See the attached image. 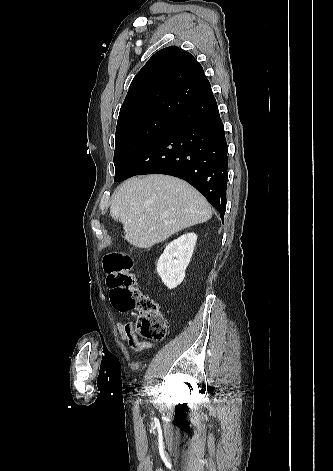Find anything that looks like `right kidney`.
<instances>
[{
	"mask_svg": "<svg viewBox=\"0 0 333 471\" xmlns=\"http://www.w3.org/2000/svg\"><path fill=\"white\" fill-rule=\"evenodd\" d=\"M197 241L195 233H187L168 244L157 263V272L169 288H176L185 277Z\"/></svg>",
	"mask_w": 333,
	"mask_h": 471,
	"instance_id": "right-kidney-1",
	"label": "right kidney"
}]
</instances>
